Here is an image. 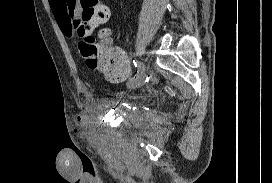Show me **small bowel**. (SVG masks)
I'll return each mask as SVG.
<instances>
[{
	"instance_id": "c3829d8e",
	"label": "small bowel",
	"mask_w": 272,
	"mask_h": 183,
	"mask_svg": "<svg viewBox=\"0 0 272 183\" xmlns=\"http://www.w3.org/2000/svg\"><path fill=\"white\" fill-rule=\"evenodd\" d=\"M48 2L60 30L66 37L71 38L73 31L68 25L67 0H48ZM75 13H78V9L75 10ZM100 44L104 49L113 53L116 59L113 65L99 68V70L110 81L119 82L126 79L130 73V63L125 51L113 45V38L109 31L103 33ZM87 115L88 111L85 109L78 115V120H84Z\"/></svg>"
}]
</instances>
